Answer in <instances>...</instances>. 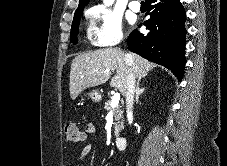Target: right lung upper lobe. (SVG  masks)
<instances>
[{"label":"right lung upper lobe","instance_id":"obj_1","mask_svg":"<svg viewBox=\"0 0 227 166\" xmlns=\"http://www.w3.org/2000/svg\"><path fill=\"white\" fill-rule=\"evenodd\" d=\"M89 1L90 0H79V6L77 9L84 8L88 4Z\"/></svg>","mask_w":227,"mask_h":166}]
</instances>
